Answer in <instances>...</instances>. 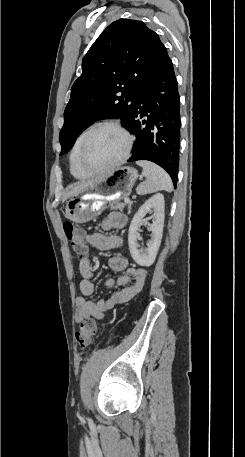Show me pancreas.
<instances>
[{
	"instance_id": "obj_1",
	"label": "pancreas",
	"mask_w": 245,
	"mask_h": 457,
	"mask_svg": "<svg viewBox=\"0 0 245 457\" xmlns=\"http://www.w3.org/2000/svg\"><path fill=\"white\" fill-rule=\"evenodd\" d=\"M126 204L127 202H109L108 206H110V208H115V210H117V208H119V210H123Z\"/></svg>"
}]
</instances>
